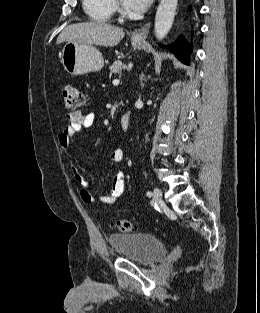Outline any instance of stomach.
Here are the masks:
<instances>
[{"label":"stomach","mask_w":260,"mask_h":313,"mask_svg":"<svg viewBox=\"0 0 260 313\" xmlns=\"http://www.w3.org/2000/svg\"><path fill=\"white\" fill-rule=\"evenodd\" d=\"M135 48L141 49L145 41L131 39ZM61 62L71 75H84L103 68L102 54L93 45L68 41L62 49Z\"/></svg>","instance_id":"stomach-1"}]
</instances>
